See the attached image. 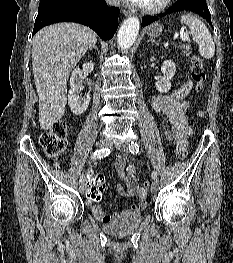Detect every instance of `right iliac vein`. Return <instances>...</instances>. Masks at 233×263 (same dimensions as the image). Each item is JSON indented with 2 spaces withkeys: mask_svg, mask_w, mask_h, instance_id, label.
I'll use <instances>...</instances> for the list:
<instances>
[{
  "mask_svg": "<svg viewBox=\"0 0 233 263\" xmlns=\"http://www.w3.org/2000/svg\"><path fill=\"white\" fill-rule=\"evenodd\" d=\"M111 144H112V141H111L110 139H108V138H103V139H101L100 142H99V146H100L101 148H107V147L111 146ZM79 190H80L81 193H84V192H85V190H86V185H85L84 182H80V184H79Z\"/></svg>",
  "mask_w": 233,
  "mask_h": 263,
  "instance_id": "63e3f726",
  "label": "right iliac vein"
}]
</instances>
